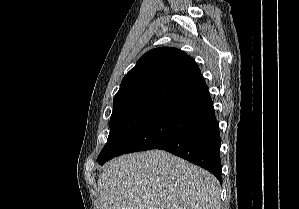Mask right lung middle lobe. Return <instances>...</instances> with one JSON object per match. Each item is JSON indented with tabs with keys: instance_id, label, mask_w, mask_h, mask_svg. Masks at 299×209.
I'll return each mask as SVG.
<instances>
[{
	"instance_id": "dd1d6c3e",
	"label": "right lung middle lobe",
	"mask_w": 299,
	"mask_h": 209,
	"mask_svg": "<svg viewBox=\"0 0 299 209\" xmlns=\"http://www.w3.org/2000/svg\"><path fill=\"white\" fill-rule=\"evenodd\" d=\"M161 103L140 102L113 108L107 143L98 157V163L115 157L144 127Z\"/></svg>"
}]
</instances>
